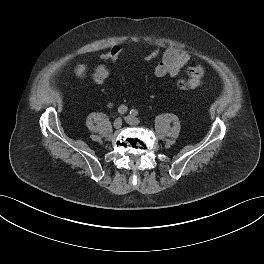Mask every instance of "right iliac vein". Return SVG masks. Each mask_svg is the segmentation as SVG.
I'll list each match as a JSON object with an SVG mask.
<instances>
[{
    "label": "right iliac vein",
    "mask_w": 264,
    "mask_h": 264,
    "mask_svg": "<svg viewBox=\"0 0 264 264\" xmlns=\"http://www.w3.org/2000/svg\"><path fill=\"white\" fill-rule=\"evenodd\" d=\"M114 128L119 129L122 126V119L117 118L113 123Z\"/></svg>",
    "instance_id": "obj_1"
}]
</instances>
